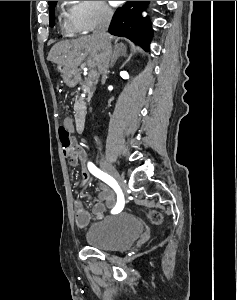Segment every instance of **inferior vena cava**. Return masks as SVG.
<instances>
[{
  "mask_svg": "<svg viewBox=\"0 0 237 300\" xmlns=\"http://www.w3.org/2000/svg\"><path fill=\"white\" fill-rule=\"evenodd\" d=\"M113 17V11L107 7V5H101V15L100 19L97 23V27L95 31H93L92 37H96V39H99L102 53H100L103 61L102 67H99V71H101L103 75V79L107 73V67L108 65H105L108 57V43H107V37H108V27L110 25V21Z\"/></svg>",
  "mask_w": 237,
  "mask_h": 300,
  "instance_id": "1",
  "label": "inferior vena cava"
}]
</instances>
